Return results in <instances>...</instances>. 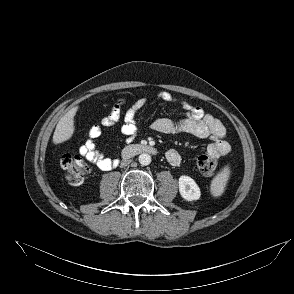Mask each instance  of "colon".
<instances>
[{
  "mask_svg": "<svg viewBox=\"0 0 294 294\" xmlns=\"http://www.w3.org/2000/svg\"><path fill=\"white\" fill-rule=\"evenodd\" d=\"M60 165L65 170L66 180L71 184L81 183L89 172V166L78 155L64 154L60 159ZM197 167L202 175L212 176L217 168V160L207 153L202 154L198 157Z\"/></svg>",
  "mask_w": 294,
  "mask_h": 294,
  "instance_id": "5ec220e1",
  "label": "colon"
}]
</instances>
